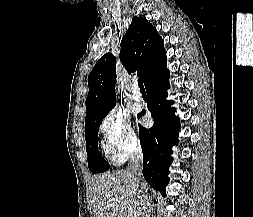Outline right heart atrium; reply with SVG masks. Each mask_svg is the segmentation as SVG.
I'll return each instance as SVG.
<instances>
[{
  "instance_id": "d8ad5b80",
  "label": "right heart atrium",
  "mask_w": 253,
  "mask_h": 217,
  "mask_svg": "<svg viewBox=\"0 0 253 217\" xmlns=\"http://www.w3.org/2000/svg\"><path fill=\"white\" fill-rule=\"evenodd\" d=\"M99 132L116 162L125 160L138 145L130 117L120 109H112L104 116Z\"/></svg>"
}]
</instances>
